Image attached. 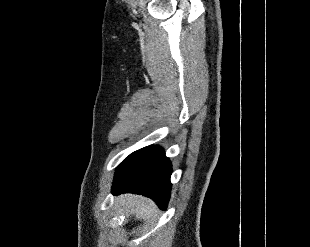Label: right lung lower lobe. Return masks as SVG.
Wrapping results in <instances>:
<instances>
[{"label": "right lung lower lobe", "instance_id": "right-lung-lower-lobe-1", "mask_svg": "<svg viewBox=\"0 0 310 247\" xmlns=\"http://www.w3.org/2000/svg\"><path fill=\"white\" fill-rule=\"evenodd\" d=\"M172 165L162 148L148 146L130 154L116 169L112 193L143 194L165 210L171 191Z\"/></svg>", "mask_w": 310, "mask_h": 247}]
</instances>
